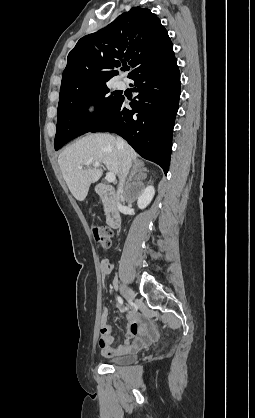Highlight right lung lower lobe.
I'll return each instance as SVG.
<instances>
[{
  "mask_svg": "<svg viewBox=\"0 0 255 418\" xmlns=\"http://www.w3.org/2000/svg\"><path fill=\"white\" fill-rule=\"evenodd\" d=\"M130 103L121 96L110 115L89 132H115L137 153L168 172L172 132L181 92L175 56L137 74ZM132 107L126 108L127 104Z\"/></svg>",
  "mask_w": 255,
  "mask_h": 418,
  "instance_id": "1",
  "label": "right lung lower lobe"
}]
</instances>
